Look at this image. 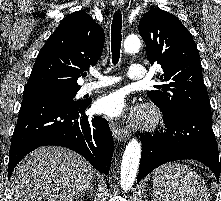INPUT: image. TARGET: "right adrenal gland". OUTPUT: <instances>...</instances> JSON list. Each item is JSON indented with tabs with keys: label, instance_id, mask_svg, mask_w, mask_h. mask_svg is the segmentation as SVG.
Returning a JSON list of instances; mask_svg holds the SVG:
<instances>
[{
	"label": "right adrenal gland",
	"instance_id": "obj_1",
	"mask_svg": "<svg viewBox=\"0 0 221 201\" xmlns=\"http://www.w3.org/2000/svg\"><path fill=\"white\" fill-rule=\"evenodd\" d=\"M85 194H90V196L93 195V185L89 188V190Z\"/></svg>",
	"mask_w": 221,
	"mask_h": 201
}]
</instances>
